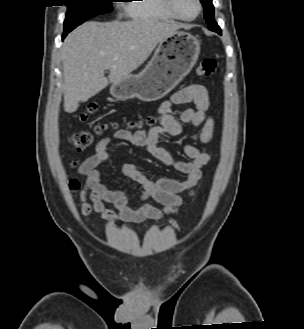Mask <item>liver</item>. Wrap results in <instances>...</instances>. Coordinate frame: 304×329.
<instances>
[{
	"mask_svg": "<svg viewBox=\"0 0 304 329\" xmlns=\"http://www.w3.org/2000/svg\"><path fill=\"white\" fill-rule=\"evenodd\" d=\"M181 27L173 22L136 19L90 21L74 29L62 46L64 110L73 113L80 102H86L109 82L124 80L148 59L158 43ZM107 69L108 78L104 75Z\"/></svg>",
	"mask_w": 304,
	"mask_h": 329,
	"instance_id": "1",
	"label": "liver"
}]
</instances>
